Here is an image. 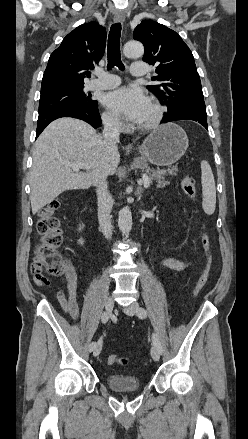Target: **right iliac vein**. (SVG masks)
<instances>
[{
	"label": "right iliac vein",
	"instance_id": "right-iliac-vein-1",
	"mask_svg": "<svg viewBox=\"0 0 248 439\" xmlns=\"http://www.w3.org/2000/svg\"><path fill=\"white\" fill-rule=\"evenodd\" d=\"M105 308H106L107 313L110 315L113 311V308H114V300L112 297L107 298L106 303H105ZM101 349H102V344L101 343L96 344L95 348L92 350L93 356L94 357L98 356L101 352Z\"/></svg>",
	"mask_w": 248,
	"mask_h": 439
}]
</instances>
